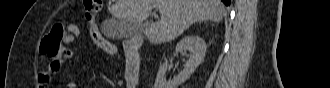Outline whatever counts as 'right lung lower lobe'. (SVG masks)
<instances>
[{"mask_svg":"<svg viewBox=\"0 0 330 88\" xmlns=\"http://www.w3.org/2000/svg\"><path fill=\"white\" fill-rule=\"evenodd\" d=\"M226 6H229L231 3V0H221Z\"/></svg>","mask_w":330,"mask_h":88,"instance_id":"98d812e1","label":"right lung lower lobe"}]
</instances>
